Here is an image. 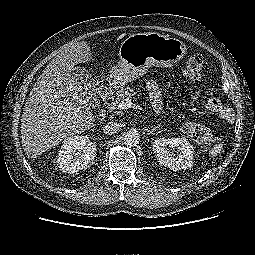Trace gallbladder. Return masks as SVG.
<instances>
[{"label": "gallbladder", "mask_w": 255, "mask_h": 255, "mask_svg": "<svg viewBox=\"0 0 255 255\" xmlns=\"http://www.w3.org/2000/svg\"><path fill=\"white\" fill-rule=\"evenodd\" d=\"M72 83L78 92L85 96H92L96 90V83L90 72L84 68L77 66L72 70Z\"/></svg>", "instance_id": "obj_1"}]
</instances>
